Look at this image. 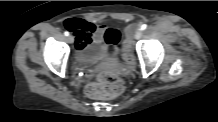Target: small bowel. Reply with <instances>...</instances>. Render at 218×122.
<instances>
[{
	"label": "small bowel",
	"instance_id": "small-bowel-1",
	"mask_svg": "<svg viewBox=\"0 0 218 122\" xmlns=\"http://www.w3.org/2000/svg\"><path fill=\"white\" fill-rule=\"evenodd\" d=\"M65 27L74 33L75 46L79 52L87 50L89 55H99V49L104 47L102 32L105 25H95L82 19L69 18L65 21Z\"/></svg>",
	"mask_w": 218,
	"mask_h": 122
}]
</instances>
